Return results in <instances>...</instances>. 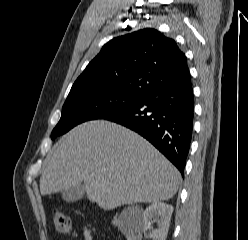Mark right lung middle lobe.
<instances>
[{
  "label": "right lung middle lobe",
  "instance_id": "obj_1",
  "mask_svg": "<svg viewBox=\"0 0 248 240\" xmlns=\"http://www.w3.org/2000/svg\"><path fill=\"white\" fill-rule=\"evenodd\" d=\"M142 97L112 88L71 90L51 138L55 139L82 122L104 119L120 112L138 102Z\"/></svg>",
  "mask_w": 248,
  "mask_h": 240
}]
</instances>
